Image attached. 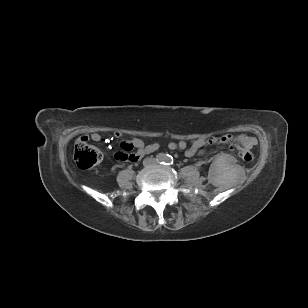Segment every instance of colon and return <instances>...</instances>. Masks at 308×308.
I'll use <instances>...</instances> for the list:
<instances>
[{
  "instance_id": "colon-1",
  "label": "colon",
  "mask_w": 308,
  "mask_h": 308,
  "mask_svg": "<svg viewBox=\"0 0 308 308\" xmlns=\"http://www.w3.org/2000/svg\"><path fill=\"white\" fill-rule=\"evenodd\" d=\"M256 141L251 137L225 135L221 137H213L206 141V144H225L232 149H237L241 158L250 162L254 159V154L251 149L256 145ZM132 147L121 144V149L115 153V159L118 161H132L134 154L131 153ZM103 159L102 152L92 146L86 137H80L75 145L74 160L79 168L90 169L98 165Z\"/></svg>"
}]
</instances>
